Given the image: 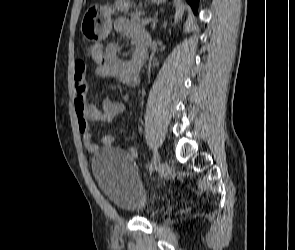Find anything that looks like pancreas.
<instances>
[{
  "instance_id": "obj_1",
  "label": "pancreas",
  "mask_w": 295,
  "mask_h": 250,
  "mask_svg": "<svg viewBox=\"0 0 295 250\" xmlns=\"http://www.w3.org/2000/svg\"><path fill=\"white\" fill-rule=\"evenodd\" d=\"M143 13L142 12H135V13H132L130 15L131 17V23L138 26V27H141L143 26L144 24H142V20L140 19V16L142 15Z\"/></svg>"
}]
</instances>
